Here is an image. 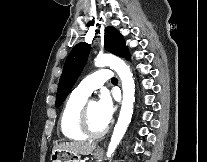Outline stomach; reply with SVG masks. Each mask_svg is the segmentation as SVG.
<instances>
[{"label":"stomach","mask_w":207,"mask_h":162,"mask_svg":"<svg viewBox=\"0 0 207 162\" xmlns=\"http://www.w3.org/2000/svg\"><path fill=\"white\" fill-rule=\"evenodd\" d=\"M94 157L100 158L101 153L99 151H95ZM50 160L51 162H80L79 156H76L66 151H58V150L52 151Z\"/></svg>","instance_id":"1"}]
</instances>
